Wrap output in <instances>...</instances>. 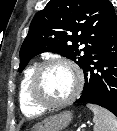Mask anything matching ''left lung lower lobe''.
I'll use <instances>...</instances> for the list:
<instances>
[{"label":"left lung lower lobe","instance_id":"obj_1","mask_svg":"<svg viewBox=\"0 0 117 131\" xmlns=\"http://www.w3.org/2000/svg\"><path fill=\"white\" fill-rule=\"evenodd\" d=\"M85 84L74 103L102 106L117 116V15L109 14L103 38L83 69Z\"/></svg>","mask_w":117,"mask_h":131}]
</instances>
